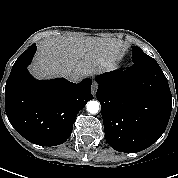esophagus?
Wrapping results in <instances>:
<instances>
[{"mask_svg": "<svg viewBox=\"0 0 178 178\" xmlns=\"http://www.w3.org/2000/svg\"><path fill=\"white\" fill-rule=\"evenodd\" d=\"M98 88V84L96 82H94L91 86V93L95 96L96 95V91Z\"/></svg>", "mask_w": 178, "mask_h": 178, "instance_id": "34e87169", "label": "esophagus"}]
</instances>
